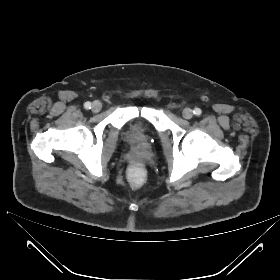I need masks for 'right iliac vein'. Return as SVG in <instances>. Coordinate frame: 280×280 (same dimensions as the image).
<instances>
[{"mask_svg": "<svg viewBox=\"0 0 280 280\" xmlns=\"http://www.w3.org/2000/svg\"><path fill=\"white\" fill-rule=\"evenodd\" d=\"M101 108H102L101 102H99V101H94V102L92 103V111H93V112L97 113V112H99V111L101 110Z\"/></svg>", "mask_w": 280, "mask_h": 280, "instance_id": "right-iliac-vein-1", "label": "right iliac vein"}]
</instances>
